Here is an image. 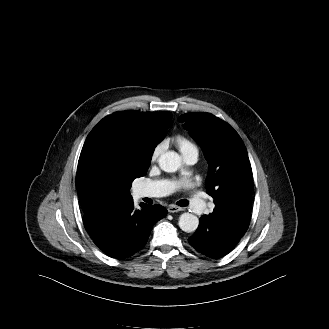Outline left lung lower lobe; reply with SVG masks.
<instances>
[{
	"label": "left lung lower lobe",
	"instance_id": "left-lung-lower-lobe-1",
	"mask_svg": "<svg viewBox=\"0 0 329 329\" xmlns=\"http://www.w3.org/2000/svg\"><path fill=\"white\" fill-rule=\"evenodd\" d=\"M251 194L200 218L199 227L188 239L200 253L219 258L228 254L245 234L251 215Z\"/></svg>",
	"mask_w": 329,
	"mask_h": 329
}]
</instances>
